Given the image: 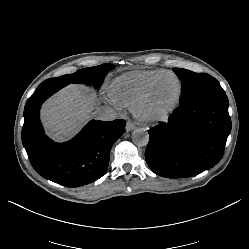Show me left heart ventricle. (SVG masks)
<instances>
[{
  "mask_svg": "<svg viewBox=\"0 0 249 249\" xmlns=\"http://www.w3.org/2000/svg\"><path fill=\"white\" fill-rule=\"evenodd\" d=\"M178 90V81L174 77L164 78L155 86L144 111L153 114L164 110L176 100Z\"/></svg>",
  "mask_w": 249,
  "mask_h": 249,
  "instance_id": "left-heart-ventricle-1",
  "label": "left heart ventricle"
}]
</instances>
